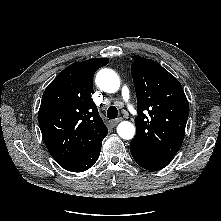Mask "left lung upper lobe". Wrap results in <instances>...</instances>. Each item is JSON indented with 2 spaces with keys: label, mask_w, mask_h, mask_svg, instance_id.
<instances>
[{
  "label": "left lung upper lobe",
  "mask_w": 221,
  "mask_h": 221,
  "mask_svg": "<svg viewBox=\"0 0 221 221\" xmlns=\"http://www.w3.org/2000/svg\"><path fill=\"white\" fill-rule=\"evenodd\" d=\"M133 59L139 116L130 150L142 159L168 164L183 142L189 104L179 81L160 64L138 55Z\"/></svg>",
  "instance_id": "5c2ea615"
}]
</instances>
